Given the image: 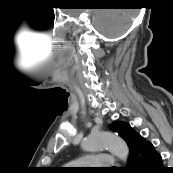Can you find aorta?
Instances as JSON below:
<instances>
[{"label": "aorta", "mask_w": 173, "mask_h": 173, "mask_svg": "<svg viewBox=\"0 0 173 173\" xmlns=\"http://www.w3.org/2000/svg\"><path fill=\"white\" fill-rule=\"evenodd\" d=\"M83 149L89 152L108 149L114 156L126 161L129 148L126 142L118 135L110 132H97L89 135L83 142Z\"/></svg>", "instance_id": "1"}]
</instances>
